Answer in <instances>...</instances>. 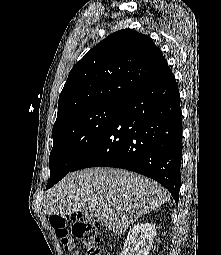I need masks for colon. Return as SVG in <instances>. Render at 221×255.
Listing matches in <instances>:
<instances>
[{
    "instance_id": "colon-1",
    "label": "colon",
    "mask_w": 221,
    "mask_h": 255,
    "mask_svg": "<svg viewBox=\"0 0 221 255\" xmlns=\"http://www.w3.org/2000/svg\"><path fill=\"white\" fill-rule=\"evenodd\" d=\"M50 223L64 251L78 255L72 234L80 238L85 246L87 255H101L100 225L96 219L84 215L71 216L53 215ZM69 223L71 227H69Z\"/></svg>"
}]
</instances>
